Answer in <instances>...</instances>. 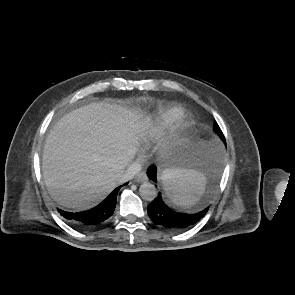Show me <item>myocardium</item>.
I'll list each match as a JSON object with an SVG mask.
<instances>
[{"instance_id": "obj_1", "label": "myocardium", "mask_w": 295, "mask_h": 295, "mask_svg": "<svg viewBox=\"0 0 295 295\" xmlns=\"http://www.w3.org/2000/svg\"><path fill=\"white\" fill-rule=\"evenodd\" d=\"M184 121L178 122L173 129L163 138L158 151L160 154L166 155L180 142L183 131L186 128Z\"/></svg>"}]
</instances>
